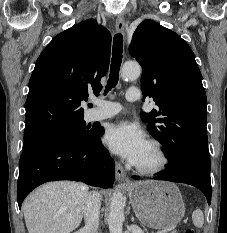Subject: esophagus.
Instances as JSON below:
<instances>
[{
    "instance_id": "esophagus-1",
    "label": "esophagus",
    "mask_w": 227,
    "mask_h": 233,
    "mask_svg": "<svg viewBox=\"0 0 227 233\" xmlns=\"http://www.w3.org/2000/svg\"><path fill=\"white\" fill-rule=\"evenodd\" d=\"M115 27L118 33H122L124 31L125 18L122 14L117 16ZM115 177H116V180L119 182H123V183L127 182L126 172L124 168L122 167V165L119 163H116V166H115Z\"/></svg>"
}]
</instances>
